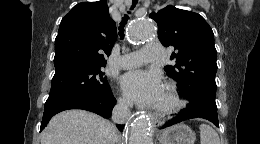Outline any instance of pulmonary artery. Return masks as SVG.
Instances as JSON below:
<instances>
[{
  "label": "pulmonary artery",
  "instance_id": "1",
  "mask_svg": "<svg viewBox=\"0 0 260 144\" xmlns=\"http://www.w3.org/2000/svg\"><path fill=\"white\" fill-rule=\"evenodd\" d=\"M164 54L163 47L158 43H150L142 50L131 52L121 57V66L125 69L138 67L145 63L158 61Z\"/></svg>",
  "mask_w": 260,
  "mask_h": 144
}]
</instances>
